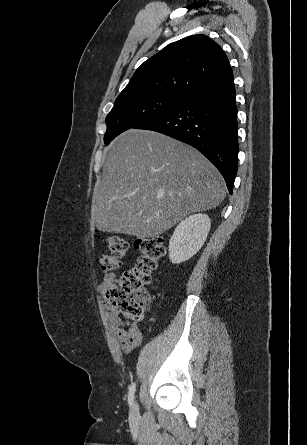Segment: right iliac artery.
<instances>
[{
  "label": "right iliac artery",
  "instance_id": "82829eb1",
  "mask_svg": "<svg viewBox=\"0 0 307 445\" xmlns=\"http://www.w3.org/2000/svg\"><path fill=\"white\" fill-rule=\"evenodd\" d=\"M135 386V383H132L129 387L128 403L130 406H132L134 402Z\"/></svg>",
  "mask_w": 307,
  "mask_h": 445
}]
</instances>
